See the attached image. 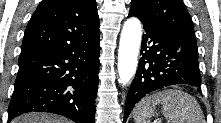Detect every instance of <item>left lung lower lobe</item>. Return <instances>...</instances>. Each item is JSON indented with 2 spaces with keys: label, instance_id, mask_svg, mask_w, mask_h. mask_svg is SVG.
<instances>
[{
  "label": "left lung lower lobe",
  "instance_id": "left-lung-lower-lobe-1",
  "mask_svg": "<svg viewBox=\"0 0 221 123\" xmlns=\"http://www.w3.org/2000/svg\"><path fill=\"white\" fill-rule=\"evenodd\" d=\"M143 24L141 59L130 86L124 111V121L134 105L147 94L174 84H189L201 90L198 50L195 41L153 24L130 9Z\"/></svg>",
  "mask_w": 221,
  "mask_h": 123
}]
</instances>
